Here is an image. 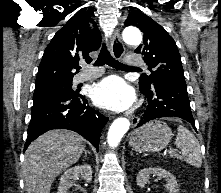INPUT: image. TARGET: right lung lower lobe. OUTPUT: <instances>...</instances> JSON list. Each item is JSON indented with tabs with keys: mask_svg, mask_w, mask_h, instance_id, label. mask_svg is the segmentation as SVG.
<instances>
[{
	"mask_svg": "<svg viewBox=\"0 0 221 193\" xmlns=\"http://www.w3.org/2000/svg\"><path fill=\"white\" fill-rule=\"evenodd\" d=\"M108 118L88 106L82 95H49L33 99L24 151L51 129H69L87 139L98 151L101 131Z\"/></svg>",
	"mask_w": 221,
	"mask_h": 193,
	"instance_id": "1",
	"label": "right lung lower lobe"
}]
</instances>
